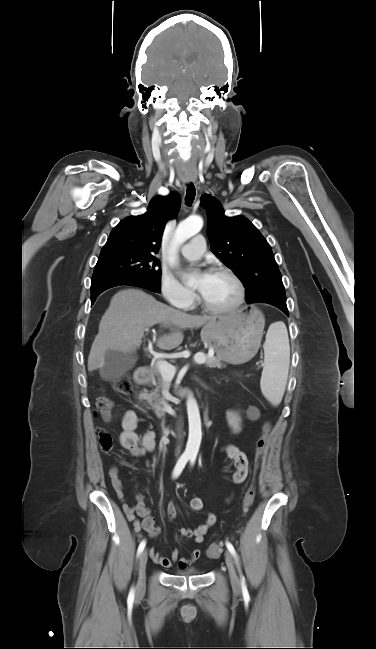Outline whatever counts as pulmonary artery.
I'll return each mask as SVG.
<instances>
[{
  "label": "pulmonary artery",
  "instance_id": "e3ab8cb5",
  "mask_svg": "<svg viewBox=\"0 0 376 649\" xmlns=\"http://www.w3.org/2000/svg\"><path fill=\"white\" fill-rule=\"evenodd\" d=\"M205 248V239L199 234L182 246L181 253L188 259H198L204 253Z\"/></svg>",
  "mask_w": 376,
  "mask_h": 649
}]
</instances>
